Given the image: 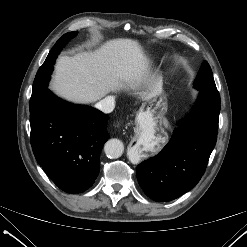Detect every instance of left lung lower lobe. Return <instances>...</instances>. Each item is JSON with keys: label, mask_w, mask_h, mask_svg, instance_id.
Wrapping results in <instances>:
<instances>
[{"label": "left lung lower lobe", "mask_w": 247, "mask_h": 247, "mask_svg": "<svg viewBox=\"0 0 247 247\" xmlns=\"http://www.w3.org/2000/svg\"><path fill=\"white\" fill-rule=\"evenodd\" d=\"M220 98L200 91L193 112L174 130L161 152L137 166L138 182L157 202L171 201L201 179L216 144Z\"/></svg>", "instance_id": "obj_1"}]
</instances>
